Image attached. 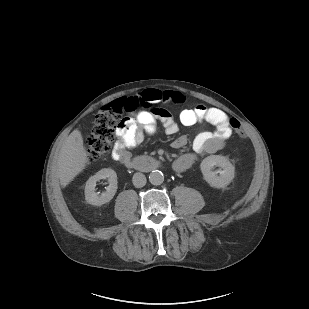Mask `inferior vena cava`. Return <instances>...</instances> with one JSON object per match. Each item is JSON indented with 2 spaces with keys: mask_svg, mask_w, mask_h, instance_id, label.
Masks as SVG:
<instances>
[{
  "mask_svg": "<svg viewBox=\"0 0 309 309\" xmlns=\"http://www.w3.org/2000/svg\"><path fill=\"white\" fill-rule=\"evenodd\" d=\"M132 182L135 187L141 188L145 186L147 180L143 173L138 172L133 175Z\"/></svg>",
  "mask_w": 309,
  "mask_h": 309,
  "instance_id": "obj_1",
  "label": "inferior vena cava"
}]
</instances>
